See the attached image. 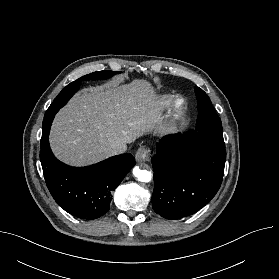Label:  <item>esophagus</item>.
Returning a JSON list of instances; mask_svg holds the SVG:
<instances>
[{"label": "esophagus", "mask_w": 279, "mask_h": 279, "mask_svg": "<svg viewBox=\"0 0 279 279\" xmlns=\"http://www.w3.org/2000/svg\"><path fill=\"white\" fill-rule=\"evenodd\" d=\"M149 153L150 150L147 147L145 146L140 147L135 154L136 161L147 162L149 160Z\"/></svg>", "instance_id": "esophagus-1"}]
</instances>
